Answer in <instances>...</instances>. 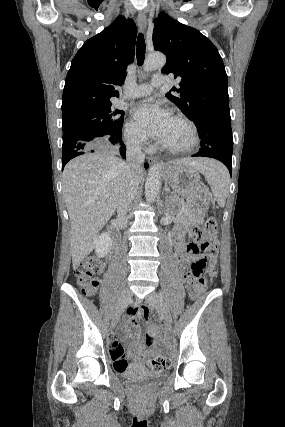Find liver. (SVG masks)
<instances>
[{
  "mask_svg": "<svg viewBox=\"0 0 285 427\" xmlns=\"http://www.w3.org/2000/svg\"><path fill=\"white\" fill-rule=\"evenodd\" d=\"M194 167L202 174L214 160L185 158L173 161ZM125 162L113 153H87L71 160L62 176L63 198L71 224L73 269L95 248L98 233L114 214L122 187ZM143 172L138 173V183Z\"/></svg>",
  "mask_w": 285,
  "mask_h": 427,
  "instance_id": "1",
  "label": "liver"
}]
</instances>
